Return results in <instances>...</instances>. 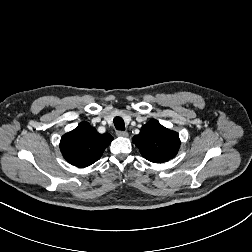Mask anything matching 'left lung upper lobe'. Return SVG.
<instances>
[{
    "instance_id": "obj_1",
    "label": "left lung upper lobe",
    "mask_w": 252,
    "mask_h": 252,
    "mask_svg": "<svg viewBox=\"0 0 252 252\" xmlns=\"http://www.w3.org/2000/svg\"><path fill=\"white\" fill-rule=\"evenodd\" d=\"M133 142L142 156L154 163H163L175 157L180 146L178 134L155 119L141 128L140 133L133 137Z\"/></svg>"
}]
</instances>
